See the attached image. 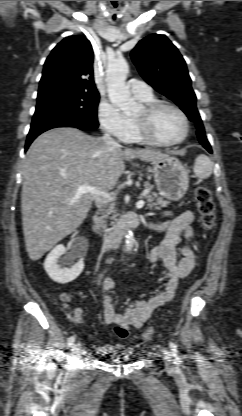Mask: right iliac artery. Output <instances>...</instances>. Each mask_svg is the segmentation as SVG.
<instances>
[{
	"mask_svg": "<svg viewBox=\"0 0 242 416\" xmlns=\"http://www.w3.org/2000/svg\"><path fill=\"white\" fill-rule=\"evenodd\" d=\"M74 342H75V337H74V336H71V337L68 339L67 346H68V347H71V346L74 344Z\"/></svg>",
	"mask_w": 242,
	"mask_h": 416,
	"instance_id": "obj_1",
	"label": "right iliac artery"
}]
</instances>
